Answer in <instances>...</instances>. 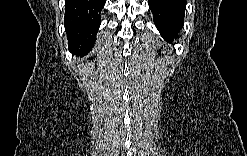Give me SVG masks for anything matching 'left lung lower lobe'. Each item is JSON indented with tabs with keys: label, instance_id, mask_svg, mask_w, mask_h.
Returning a JSON list of instances; mask_svg holds the SVG:
<instances>
[{
	"label": "left lung lower lobe",
	"instance_id": "obj_1",
	"mask_svg": "<svg viewBox=\"0 0 247 156\" xmlns=\"http://www.w3.org/2000/svg\"><path fill=\"white\" fill-rule=\"evenodd\" d=\"M149 7L160 34L172 42L183 27L186 0H149Z\"/></svg>",
	"mask_w": 247,
	"mask_h": 156
}]
</instances>
